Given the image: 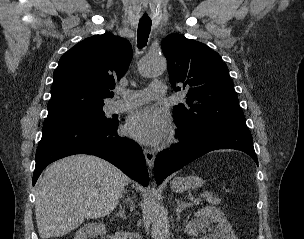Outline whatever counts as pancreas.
I'll list each match as a JSON object with an SVG mask.
<instances>
[{
	"label": "pancreas",
	"mask_w": 304,
	"mask_h": 239,
	"mask_svg": "<svg viewBox=\"0 0 304 239\" xmlns=\"http://www.w3.org/2000/svg\"><path fill=\"white\" fill-rule=\"evenodd\" d=\"M205 197L209 204L217 205L221 202V200L219 198L213 196L212 194H208Z\"/></svg>",
	"instance_id": "cf45deb5"
}]
</instances>
